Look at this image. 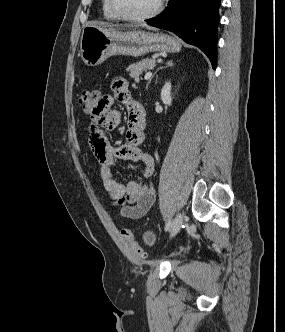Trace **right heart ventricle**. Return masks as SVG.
<instances>
[{
  "label": "right heart ventricle",
  "mask_w": 285,
  "mask_h": 332,
  "mask_svg": "<svg viewBox=\"0 0 285 332\" xmlns=\"http://www.w3.org/2000/svg\"><path fill=\"white\" fill-rule=\"evenodd\" d=\"M102 13L106 20L115 21L119 19L110 9L108 0H102Z\"/></svg>",
  "instance_id": "obj_1"
}]
</instances>
